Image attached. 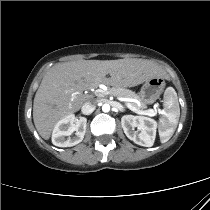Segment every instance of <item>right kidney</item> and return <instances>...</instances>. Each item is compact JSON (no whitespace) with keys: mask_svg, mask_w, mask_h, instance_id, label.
I'll return each instance as SVG.
<instances>
[{"mask_svg":"<svg viewBox=\"0 0 210 210\" xmlns=\"http://www.w3.org/2000/svg\"><path fill=\"white\" fill-rule=\"evenodd\" d=\"M87 119H76L73 114L59 120L52 133V143L58 147H71L80 143L86 132ZM75 132L73 137L70 135ZM67 137V138H66Z\"/></svg>","mask_w":210,"mask_h":210,"instance_id":"obj_1","label":"right kidney"}]
</instances>
